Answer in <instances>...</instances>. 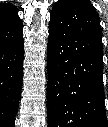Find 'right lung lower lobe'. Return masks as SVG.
<instances>
[{"instance_id": "obj_1", "label": "right lung lower lobe", "mask_w": 108, "mask_h": 127, "mask_svg": "<svg viewBox=\"0 0 108 127\" xmlns=\"http://www.w3.org/2000/svg\"><path fill=\"white\" fill-rule=\"evenodd\" d=\"M23 25L20 18L0 23V126L13 127L23 76Z\"/></svg>"}]
</instances>
